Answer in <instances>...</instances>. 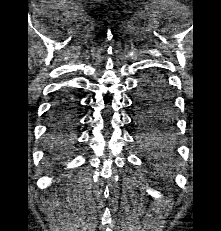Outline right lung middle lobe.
Wrapping results in <instances>:
<instances>
[{
	"label": "right lung middle lobe",
	"instance_id": "1",
	"mask_svg": "<svg viewBox=\"0 0 221 231\" xmlns=\"http://www.w3.org/2000/svg\"><path fill=\"white\" fill-rule=\"evenodd\" d=\"M76 122V105L57 101L50 116L48 141L55 147L67 145Z\"/></svg>",
	"mask_w": 221,
	"mask_h": 231
}]
</instances>
